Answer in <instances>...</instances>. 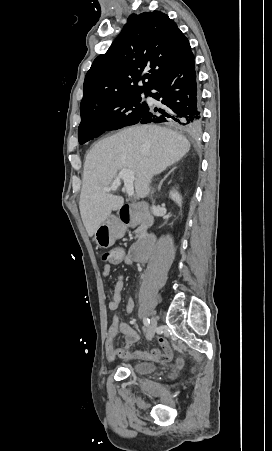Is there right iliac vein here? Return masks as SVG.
Segmentation results:
<instances>
[{
	"label": "right iliac vein",
	"instance_id": "63e3f726",
	"mask_svg": "<svg viewBox=\"0 0 272 451\" xmlns=\"http://www.w3.org/2000/svg\"><path fill=\"white\" fill-rule=\"evenodd\" d=\"M157 328V319L155 316L152 317L151 324L147 330V339L151 340L154 337L155 331Z\"/></svg>",
	"mask_w": 272,
	"mask_h": 451
}]
</instances>
